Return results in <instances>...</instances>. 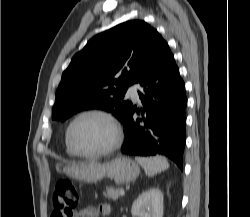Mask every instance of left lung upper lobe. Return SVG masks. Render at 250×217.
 <instances>
[{"mask_svg":"<svg viewBox=\"0 0 250 217\" xmlns=\"http://www.w3.org/2000/svg\"><path fill=\"white\" fill-rule=\"evenodd\" d=\"M162 41L142 20L121 23L93 37L62 74L52 119L64 121L96 108L123 123L132 107L124 95L150 68Z\"/></svg>","mask_w":250,"mask_h":217,"instance_id":"1","label":"left lung upper lobe"}]
</instances>
